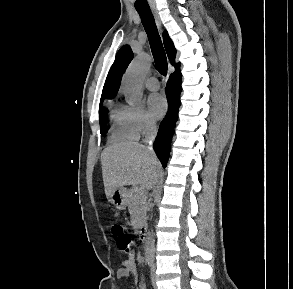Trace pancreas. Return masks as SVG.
Segmentation results:
<instances>
[{
	"mask_svg": "<svg viewBox=\"0 0 293 289\" xmlns=\"http://www.w3.org/2000/svg\"><path fill=\"white\" fill-rule=\"evenodd\" d=\"M127 205L135 227L140 228L146 219V195L130 189L127 192Z\"/></svg>",
	"mask_w": 293,
	"mask_h": 289,
	"instance_id": "1",
	"label": "pancreas"
}]
</instances>
